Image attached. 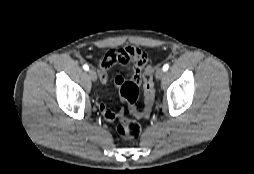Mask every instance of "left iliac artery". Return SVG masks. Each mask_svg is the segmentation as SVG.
Instances as JSON below:
<instances>
[{"label": "left iliac artery", "instance_id": "44dca946", "mask_svg": "<svg viewBox=\"0 0 254 174\" xmlns=\"http://www.w3.org/2000/svg\"><path fill=\"white\" fill-rule=\"evenodd\" d=\"M169 69V64H165L164 66H163V71H167Z\"/></svg>", "mask_w": 254, "mask_h": 174}]
</instances>
